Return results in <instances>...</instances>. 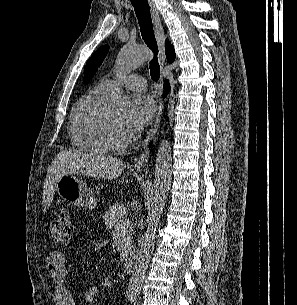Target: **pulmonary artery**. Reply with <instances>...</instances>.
<instances>
[{
  "mask_svg": "<svg viewBox=\"0 0 297 305\" xmlns=\"http://www.w3.org/2000/svg\"><path fill=\"white\" fill-rule=\"evenodd\" d=\"M117 84L132 91H144L146 89V80L137 74H128L119 79H103L99 86L108 92Z\"/></svg>",
  "mask_w": 297,
  "mask_h": 305,
  "instance_id": "pulmonary-artery-1",
  "label": "pulmonary artery"
}]
</instances>
